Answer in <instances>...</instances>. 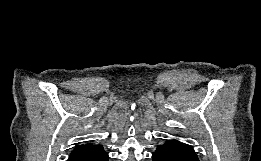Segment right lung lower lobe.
<instances>
[{"mask_svg": "<svg viewBox=\"0 0 261 161\" xmlns=\"http://www.w3.org/2000/svg\"><path fill=\"white\" fill-rule=\"evenodd\" d=\"M68 161H108V155L102 145H88L75 148Z\"/></svg>", "mask_w": 261, "mask_h": 161, "instance_id": "98d812e1", "label": "right lung lower lobe"}]
</instances>
